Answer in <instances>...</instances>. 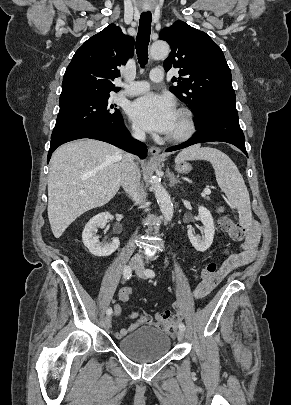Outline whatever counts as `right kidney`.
<instances>
[{
  "instance_id": "obj_1",
  "label": "right kidney",
  "mask_w": 291,
  "mask_h": 405,
  "mask_svg": "<svg viewBox=\"0 0 291 405\" xmlns=\"http://www.w3.org/2000/svg\"><path fill=\"white\" fill-rule=\"evenodd\" d=\"M109 216L110 214L108 212L97 214L89 220L83 230V243L88 248L89 252L94 256H109L115 252L120 245L118 238H114L109 244L100 243L99 237L96 235L98 228H103L106 226Z\"/></svg>"
}]
</instances>
